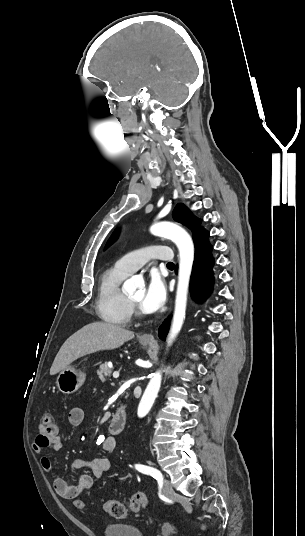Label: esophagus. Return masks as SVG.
Instances as JSON below:
<instances>
[{
    "mask_svg": "<svg viewBox=\"0 0 305 536\" xmlns=\"http://www.w3.org/2000/svg\"><path fill=\"white\" fill-rule=\"evenodd\" d=\"M167 180H169L168 177H167ZM141 340L143 342H149V341H154V338L150 333H146V334L142 335Z\"/></svg>",
    "mask_w": 305,
    "mask_h": 536,
    "instance_id": "esophagus-1",
    "label": "esophagus"
}]
</instances>
